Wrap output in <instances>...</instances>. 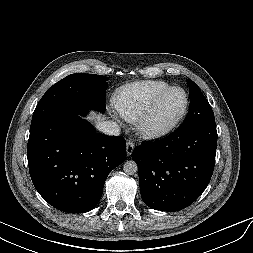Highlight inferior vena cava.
Segmentation results:
<instances>
[{"label":"inferior vena cava","mask_w":253,"mask_h":253,"mask_svg":"<svg viewBox=\"0 0 253 253\" xmlns=\"http://www.w3.org/2000/svg\"><path fill=\"white\" fill-rule=\"evenodd\" d=\"M97 128L99 131L106 135H115L118 136L120 134V127L116 122L113 121H102L97 124Z\"/></svg>","instance_id":"1"}]
</instances>
